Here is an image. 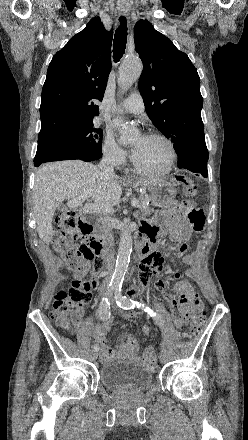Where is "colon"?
<instances>
[{"instance_id": "colon-1", "label": "colon", "mask_w": 248, "mask_h": 440, "mask_svg": "<svg viewBox=\"0 0 248 440\" xmlns=\"http://www.w3.org/2000/svg\"><path fill=\"white\" fill-rule=\"evenodd\" d=\"M186 193L194 195L197 191L196 185L189 179L180 176ZM188 212V224L190 229L200 232L205 226V216L203 211L193 207L191 203H184L182 206ZM57 229L54 235L53 244L61 255L67 269L74 274L70 287L66 291H59L53 303L52 319L60 326H66L69 322V312L73 307L82 306L89 302L92 290L95 286L94 281L85 276L94 267H102V258L94 251L93 247L86 242L78 243L81 236L82 217L70 210H63L57 217ZM174 246L172 242H165L163 249L170 253ZM74 318H79L74 312ZM205 312L200 310L192 318L184 338L190 339L201 330L205 323ZM150 328L144 326L142 334L148 336ZM143 361L146 365L154 367L157 364L156 354L151 346H147L143 353Z\"/></svg>"}]
</instances>
